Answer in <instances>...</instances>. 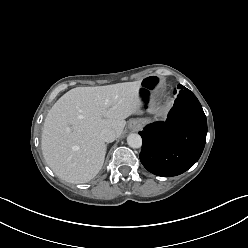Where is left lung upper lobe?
<instances>
[{
	"mask_svg": "<svg viewBox=\"0 0 248 248\" xmlns=\"http://www.w3.org/2000/svg\"><path fill=\"white\" fill-rule=\"evenodd\" d=\"M177 88L181 90V89H184L185 87L182 86L181 84H179V85L177 86ZM175 92H176V91H175Z\"/></svg>",
	"mask_w": 248,
	"mask_h": 248,
	"instance_id": "5c2ea615",
	"label": "left lung upper lobe"
}]
</instances>
